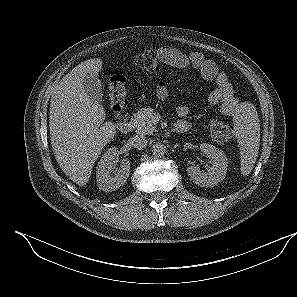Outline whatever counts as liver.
<instances>
[{
    "label": "liver",
    "mask_w": 297,
    "mask_h": 297,
    "mask_svg": "<svg viewBox=\"0 0 297 297\" xmlns=\"http://www.w3.org/2000/svg\"><path fill=\"white\" fill-rule=\"evenodd\" d=\"M102 60L81 62L56 85L50 103V138L61 170L79 186L91 176L95 161L104 146L115 136L113 123L105 120L101 105L86 95L83 78L98 76Z\"/></svg>",
    "instance_id": "6515ba94"
}]
</instances>
